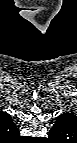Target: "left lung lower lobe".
I'll list each match as a JSON object with an SVG mask.
<instances>
[{
    "instance_id": "obj_1",
    "label": "left lung lower lobe",
    "mask_w": 77,
    "mask_h": 143,
    "mask_svg": "<svg viewBox=\"0 0 77 143\" xmlns=\"http://www.w3.org/2000/svg\"><path fill=\"white\" fill-rule=\"evenodd\" d=\"M71 116H72L71 114L65 113V114L60 115L57 120H63V119L69 118V117H71ZM59 135H60V134H53L52 132H49V136H50V137H56V136H59Z\"/></svg>"
}]
</instances>
